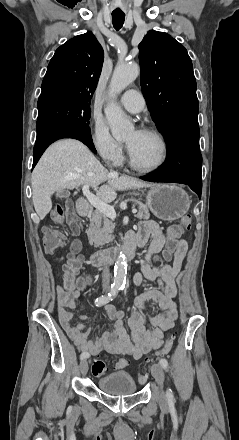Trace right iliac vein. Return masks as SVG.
<instances>
[{
    "mask_svg": "<svg viewBox=\"0 0 239 440\" xmlns=\"http://www.w3.org/2000/svg\"><path fill=\"white\" fill-rule=\"evenodd\" d=\"M80 372H81V374L83 376L87 374V372H88V362H87V360H82L80 362Z\"/></svg>",
    "mask_w": 239,
    "mask_h": 440,
    "instance_id": "63e3f726",
    "label": "right iliac vein"
}]
</instances>
